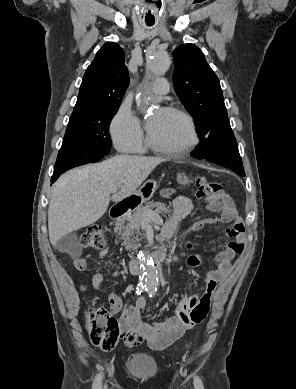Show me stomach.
I'll list each match as a JSON object with an SVG mask.
<instances>
[{"label":"stomach","mask_w":296,"mask_h":389,"mask_svg":"<svg viewBox=\"0 0 296 389\" xmlns=\"http://www.w3.org/2000/svg\"><path fill=\"white\" fill-rule=\"evenodd\" d=\"M156 189V182L153 180H149L145 182L143 186L134 195L140 197L141 201L144 202L149 200L153 196Z\"/></svg>","instance_id":"stomach-1"}]
</instances>
